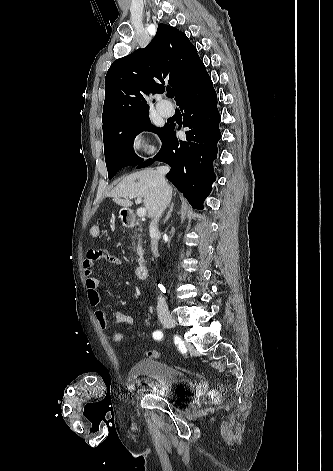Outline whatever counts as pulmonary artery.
<instances>
[{
  "label": "pulmonary artery",
  "mask_w": 333,
  "mask_h": 471,
  "mask_svg": "<svg viewBox=\"0 0 333 471\" xmlns=\"http://www.w3.org/2000/svg\"><path fill=\"white\" fill-rule=\"evenodd\" d=\"M156 107L159 113L162 114L163 116H170L174 112L173 106L165 100H160L157 103Z\"/></svg>",
  "instance_id": "e3ab8cb5"
}]
</instances>
